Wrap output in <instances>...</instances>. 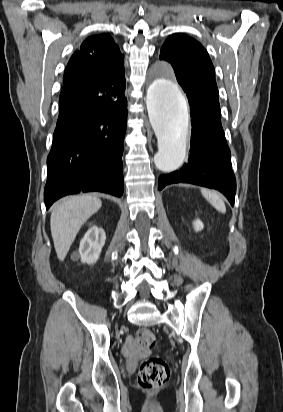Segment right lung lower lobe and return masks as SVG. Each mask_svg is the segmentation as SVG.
<instances>
[{
	"label": "right lung lower lobe",
	"mask_w": 283,
	"mask_h": 412,
	"mask_svg": "<svg viewBox=\"0 0 283 412\" xmlns=\"http://www.w3.org/2000/svg\"><path fill=\"white\" fill-rule=\"evenodd\" d=\"M124 91L125 84L102 83L60 107L47 158L46 209L80 191L122 196L121 157L128 113Z\"/></svg>",
	"instance_id": "right-lung-lower-lobe-1"
}]
</instances>
